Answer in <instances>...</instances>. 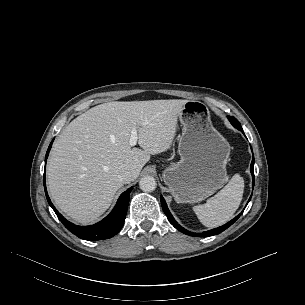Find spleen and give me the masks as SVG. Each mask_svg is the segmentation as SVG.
<instances>
[{
    "label": "spleen",
    "instance_id": "3e777b00",
    "mask_svg": "<svg viewBox=\"0 0 305 305\" xmlns=\"http://www.w3.org/2000/svg\"><path fill=\"white\" fill-rule=\"evenodd\" d=\"M244 192V180L235 174L228 184L203 205L193 207L200 222L206 227H218L228 222L238 209Z\"/></svg>",
    "mask_w": 305,
    "mask_h": 305
}]
</instances>
